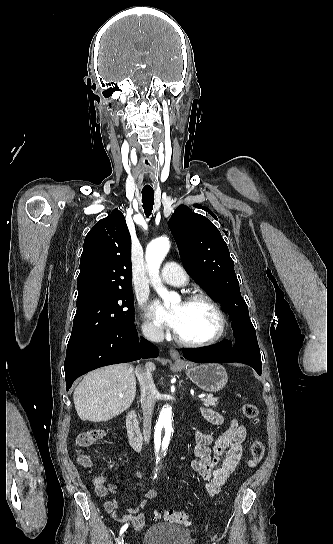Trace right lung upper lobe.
<instances>
[{
    "mask_svg": "<svg viewBox=\"0 0 333 544\" xmlns=\"http://www.w3.org/2000/svg\"><path fill=\"white\" fill-rule=\"evenodd\" d=\"M131 237L117 209L96 223L85 237L77 279V300L131 289Z\"/></svg>",
    "mask_w": 333,
    "mask_h": 544,
    "instance_id": "cb5924a9",
    "label": "right lung upper lobe"
}]
</instances>
